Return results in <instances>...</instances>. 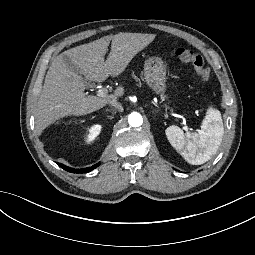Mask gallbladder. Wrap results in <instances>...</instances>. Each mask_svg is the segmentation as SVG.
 <instances>
[{
    "instance_id": "bac80fb5",
    "label": "gallbladder",
    "mask_w": 255,
    "mask_h": 255,
    "mask_svg": "<svg viewBox=\"0 0 255 255\" xmlns=\"http://www.w3.org/2000/svg\"><path fill=\"white\" fill-rule=\"evenodd\" d=\"M71 66H72V67H74L72 64H71ZM76 73H78V74H79L80 72H79L78 70H76Z\"/></svg>"
}]
</instances>
